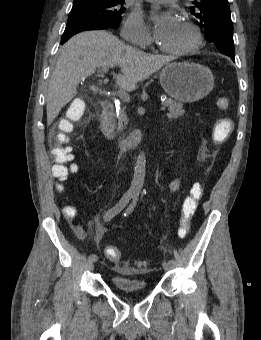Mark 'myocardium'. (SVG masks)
Masks as SVG:
<instances>
[{
	"instance_id": "obj_1",
	"label": "myocardium",
	"mask_w": 261,
	"mask_h": 340,
	"mask_svg": "<svg viewBox=\"0 0 261 340\" xmlns=\"http://www.w3.org/2000/svg\"><path fill=\"white\" fill-rule=\"evenodd\" d=\"M182 24L191 31L192 36H193L192 44L183 49H168V48H165L162 44H159L158 45L159 49L162 52L175 55V56H184V55L192 54L199 49V47L202 44V33L199 27L195 23L189 20L184 21Z\"/></svg>"
}]
</instances>
